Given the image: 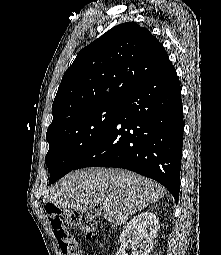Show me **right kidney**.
Returning a JSON list of instances; mask_svg holds the SVG:
<instances>
[{
	"mask_svg": "<svg viewBox=\"0 0 221 255\" xmlns=\"http://www.w3.org/2000/svg\"><path fill=\"white\" fill-rule=\"evenodd\" d=\"M159 228V220L152 212H141L134 216L120 235L121 245L116 255H128L129 247L132 255H149Z\"/></svg>",
	"mask_w": 221,
	"mask_h": 255,
	"instance_id": "ca27d5eb",
	"label": "right kidney"
}]
</instances>
